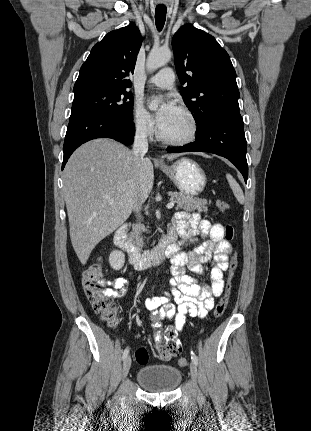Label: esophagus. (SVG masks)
I'll return each instance as SVG.
<instances>
[{"mask_svg":"<svg viewBox=\"0 0 311 431\" xmlns=\"http://www.w3.org/2000/svg\"><path fill=\"white\" fill-rule=\"evenodd\" d=\"M154 162L157 163V164H163V160L158 155L154 159Z\"/></svg>","mask_w":311,"mask_h":431,"instance_id":"1","label":"esophagus"}]
</instances>
